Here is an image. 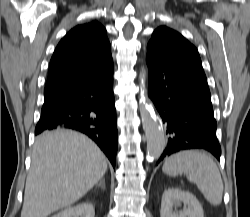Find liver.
I'll use <instances>...</instances> for the list:
<instances>
[{
    "instance_id": "liver-1",
    "label": "liver",
    "mask_w": 250,
    "mask_h": 217,
    "mask_svg": "<svg viewBox=\"0 0 250 217\" xmlns=\"http://www.w3.org/2000/svg\"><path fill=\"white\" fill-rule=\"evenodd\" d=\"M107 171L99 147L78 132L59 129L34 144L21 217H47L83 197Z\"/></svg>"
}]
</instances>
